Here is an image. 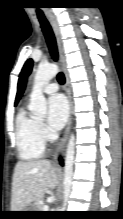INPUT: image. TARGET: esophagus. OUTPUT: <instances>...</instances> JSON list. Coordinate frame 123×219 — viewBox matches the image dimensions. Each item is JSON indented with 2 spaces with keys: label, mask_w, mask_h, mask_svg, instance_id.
I'll return each mask as SVG.
<instances>
[{
  "label": "esophagus",
  "mask_w": 123,
  "mask_h": 219,
  "mask_svg": "<svg viewBox=\"0 0 123 219\" xmlns=\"http://www.w3.org/2000/svg\"><path fill=\"white\" fill-rule=\"evenodd\" d=\"M50 21H51V25H52L53 31L55 33V36H56L59 57H60L62 69L64 72V76H65V90H66L68 103H69V117H68L67 126L65 129L64 135H63L62 139L60 140L58 147L56 149L55 155H54V160L56 163H58L59 157L64 152L65 145H66V142H67V139L69 136V132H70L71 121H72V100H71L69 74H68V69H67V61H66V55H65V51H64V45H63L60 27H59L57 20L53 16H51Z\"/></svg>",
  "instance_id": "34e87169"
}]
</instances>
